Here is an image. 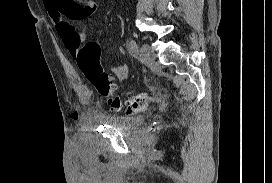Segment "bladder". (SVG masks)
I'll use <instances>...</instances> for the list:
<instances>
[{"label":"bladder","instance_id":"31cf9c89","mask_svg":"<svg viewBox=\"0 0 272 183\" xmlns=\"http://www.w3.org/2000/svg\"><path fill=\"white\" fill-rule=\"evenodd\" d=\"M101 122L111 127L132 131L138 129L142 125L143 119L138 116L113 114L101 118Z\"/></svg>","mask_w":272,"mask_h":183}]
</instances>
